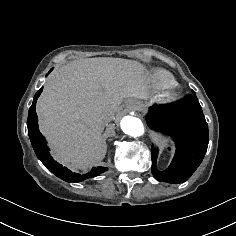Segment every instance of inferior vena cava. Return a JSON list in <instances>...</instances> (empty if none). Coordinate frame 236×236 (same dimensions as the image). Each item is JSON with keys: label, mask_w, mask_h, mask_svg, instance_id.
<instances>
[{"label": "inferior vena cava", "mask_w": 236, "mask_h": 236, "mask_svg": "<svg viewBox=\"0 0 236 236\" xmlns=\"http://www.w3.org/2000/svg\"><path fill=\"white\" fill-rule=\"evenodd\" d=\"M113 118H114V116H112V115H107V116H106V119H105V122H106V123H112V122H113Z\"/></svg>", "instance_id": "inferior-vena-cava-1"}]
</instances>
